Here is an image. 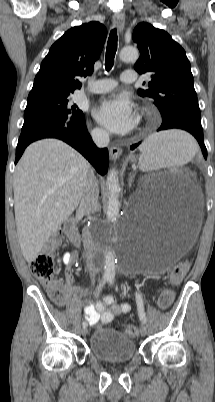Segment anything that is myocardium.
Returning a JSON list of instances; mask_svg holds the SVG:
<instances>
[{
  "label": "myocardium",
  "mask_w": 215,
  "mask_h": 402,
  "mask_svg": "<svg viewBox=\"0 0 215 402\" xmlns=\"http://www.w3.org/2000/svg\"><path fill=\"white\" fill-rule=\"evenodd\" d=\"M153 115V111L151 109H143L140 113V118H149Z\"/></svg>",
  "instance_id": "myocardium-1"
}]
</instances>
